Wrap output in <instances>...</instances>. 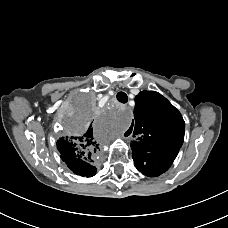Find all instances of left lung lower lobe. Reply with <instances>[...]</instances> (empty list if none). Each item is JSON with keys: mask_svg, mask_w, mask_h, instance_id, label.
I'll list each match as a JSON object with an SVG mask.
<instances>
[{"mask_svg": "<svg viewBox=\"0 0 228 228\" xmlns=\"http://www.w3.org/2000/svg\"><path fill=\"white\" fill-rule=\"evenodd\" d=\"M132 157L136 168L149 177H155L164 173L169 169L174 161L172 159L159 158L150 155H145L140 158Z\"/></svg>", "mask_w": 228, "mask_h": 228, "instance_id": "1", "label": "left lung lower lobe"}]
</instances>
